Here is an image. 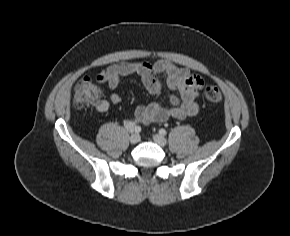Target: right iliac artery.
<instances>
[{
	"mask_svg": "<svg viewBox=\"0 0 290 236\" xmlns=\"http://www.w3.org/2000/svg\"><path fill=\"white\" fill-rule=\"evenodd\" d=\"M133 131H135L136 133H139V132H141V127H140V126H137V127L135 128V130H133Z\"/></svg>",
	"mask_w": 290,
	"mask_h": 236,
	"instance_id": "82829eb1",
	"label": "right iliac artery"
}]
</instances>
